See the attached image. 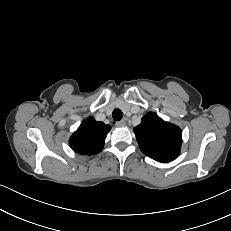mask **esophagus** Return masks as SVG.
I'll use <instances>...</instances> for the list:
<instances>
[{
	"instance_id": "34e87169",
	"label": "esophagus",
	"mask_w": 231,
	"mask_h": 231,
	"mask_svg": "<svg viewBox=\"0 0 231 231\" xmlns=\"http://www.w3.org/2000/svg\"><path fill=\"white\" fill-rule=\"evenodd\" d=\"M126 124V122L124 120L118 121L115 123L116 126L121 127L124 126Z\"/></svg>"
}]
</instances>
